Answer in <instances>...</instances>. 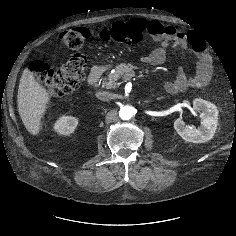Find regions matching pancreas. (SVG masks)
<instances>
[{"label": "pancreas", "instance_id": "1", "mask_svg": "<svg viewBox=\"0 0 236 236\" xmlns=\"http://www.w3.org/2000/svg\"><path fill=\"white\" fill-rule=\"evenodd\" d=\"M135 69H137V67L132 64L122 63L116 66L115 71L113 73H110L107 79H104L103 85L106 88H116L118 87L117 80H119L120 78L129 79L133 77Z\"/></svg>", "mask_w": 236, "mask_h": 236}]
</instances>
